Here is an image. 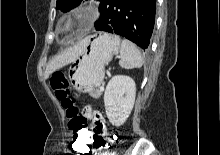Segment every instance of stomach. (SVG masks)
<instances>
[{
    "label": "stomach",
    "instance_id": "0dacf381",
    "mask_svg": "<svg viewBox=\"0 0 220 155\" xmlns=\"http://www.w3.org/2000/svg\"><path fill=\"white\" fill-rule=\"evenodd\" d=\"M120 50V38L103 33L89 36L82 53L71 64L68 77L72 87L79 93L92 95L104 79L105 66Z\"/></svg>",
    "mask_w": 220,
    "mask_h": 155
}]
</instances>
